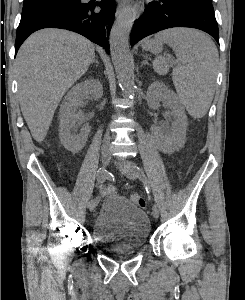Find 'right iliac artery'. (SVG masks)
Segmentation results:
<instances>
[{
  "instance_id": "right-iliac-artery-1",
  "label": "right iliac artery",
  "mask_w": 245,
  "mask_h": 300,
  "mask_svg": "<svg viewBox=\"0 0 245 300\" xmlns=\"http://www.w3.org/2000/svg\"><path fill=\"white\" fill-rule=\"evenodd\" d=\"M107 176H108L107 175V171L105 169H103V168H100L98 170V173H97V181H98V183L103 184L105 181L109 182L110 178L107 177ZM100 203H101L100 197L96 196L93 204H95L97 206Z\"/></svg>"
}]
</instances>
